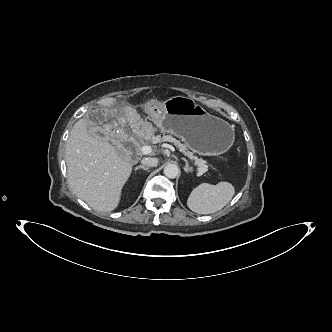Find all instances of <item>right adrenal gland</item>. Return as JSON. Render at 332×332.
<instances>
[{
	"label": "right adrenal gland",
	"instance_id": "2a0ac1e0",
	"mask_svg": "<svg viewBox=\"0 0 332 332\" xmlns=\"http://www.w3.org/2000/svg\"><path fill=\"white\" fill-rule=\"evenodd\" d=\"M138 169L149 170V167H145V166H143V165H140V166H137V167L135 168V171L138 170Z\"/></svg>",
	"mask_w": 332,
	"mask_h": 332
}]
</instances>
